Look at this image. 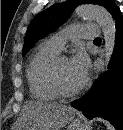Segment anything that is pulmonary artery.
<instances>
[{
  "mask_svg": "<svg viewBox=\"0 0 123 130\" xmlns=\"http://www.w3.org/2000/svg\"><path fill=\"white\" fill-rule=\"evenodd\" d=\"M99 35V28L94 24L74 25L54 34L48 40H46V43L57 52H61L66 42L73 37L95 39L99 37Z\"/></svg>",
  "mask_w": 123,
  "mask_h": 130,
  "instance_id": "e3ab8cb5",
  "label": "pulmonary artery"
}]
</instances>
